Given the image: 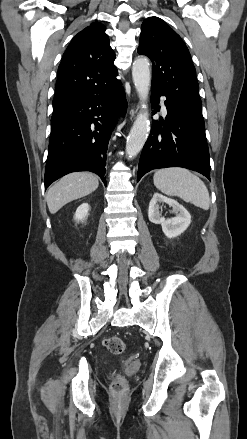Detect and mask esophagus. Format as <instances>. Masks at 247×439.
Listing matches in <instances>:
<instances>
[{
	"label": "esophagus",
	"mask_w": 247,
	"mask_h": 439,
	"mask_svg": "<svg viewBox=\"0 0 247 439\" xmlns=\"http://www.w3.org/2000/svg\"><path fill=\"white\" fill-rule=\"evenodd\" d=\"M137 111H138V106H136V107H132V108L130 109V118H131V119L135 117Z\"/></svg>",
	"instance_id": "34e87169"
}]
</instances>
